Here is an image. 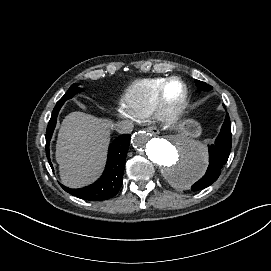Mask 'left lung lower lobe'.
Masks as SVG:
<instances>
[{"label": "left lung lower lobe", "instance_id": "0a47b994", "mask_svg": "<svg viewBox=\"0 0 271 271\" xmlns=\"http://www.w3.org/2000/svg\"><path fill=\"white\" fill-rule=\"evenodd\" d=\"M231 122L229 115H226L225 121L218 135L215 145L209 147V166L205 175L192 185L193 191L202 190L213 184L220 176L221 169L226 164L231 151Z\"/></svg>", "mask_w": 271, "mask_h": 271}]
</instances>
